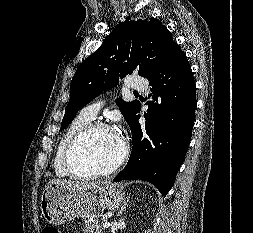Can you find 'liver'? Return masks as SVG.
<instances>
[{
    "instance_id": "liver-1",
    "label": "liver",
    "mask_w": 253,
    "mask_h": 233,
    "mask_svg": "<svg viewBox=\"0 0 253 233\" xmlns=\"http://www.w3.org/2000/svg\"><path fill=\"white\" fill-rule=\"evenodd\" d=\"M52 184L68 186L75 190H83L86 188L95 187L99 185L98 182H74V181L64 180V179H52L48 182L47 185L49 186Z\"/></svg>"
}]
</instances>
